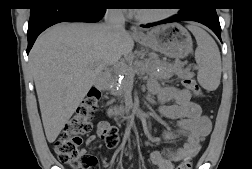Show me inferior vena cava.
<instances>
[{
    "label": "inferior vena cava",
    "instance_id": "inferior-vena-cava-1",
    "mask_svg": "<svg viewBox=\"0 0 252 169\" xmlns=\"http://www.w3.org/2000/svg\"><path fill=\"white\" fill-rule=\"evenodd\" d=\"M104 30L108 35L118 36L125 32V17L122 9H107Z\"/></svg>",
    "mask_w": 252,
    "mask_h": 169
}]
</instances>
